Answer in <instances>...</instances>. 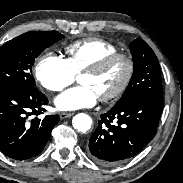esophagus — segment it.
<instances>
[{
  "label": "esophagus",
  "instance_id": "34e87169",
  "mask_svg": "<svg viewBox=\"0 0 183 183\" xmlns=\"http://www.w3.org/2000/svg\"><path fill=\"white\" fill-rule=\"evenodd\" d=\"M72 115L73 113L62 112L60 113V119H65V118L71 117Z\"/></svg>",
  "mask_w": 183,
  "mask_h": 183
}]
</instances>
